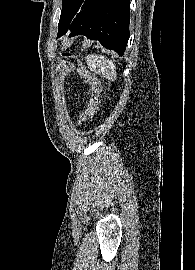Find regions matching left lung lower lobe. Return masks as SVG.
Wrapping results in <instances>:
<instances>
[{
  "mask_svg": "<svg viewBox=\"0 0 195 270\" xmlns=\"http://www.w3.org/2000/svg\"><path fill=\"white\" fill-rule=\"evenodd\" d=\"M129 21L130 0H85L70 25L57 37L70 30L69 37L85 35L123 55L129 39Z\"/></svg>",
  "mask_w": 195,
  "mask_h": 270,
  "instance_id": "left-lung-lower-lobe-1",
  "label": "left lung lower lobe"
}]
</instances>
